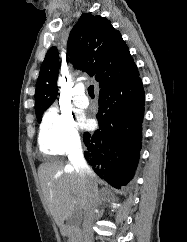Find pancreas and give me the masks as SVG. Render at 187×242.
<instances>
[{
	"label": "pancreas",
	"mask_w": 187,
	"mask_h": 242,
	"mask_svg": "<svg viewBox=\"0 0 187 242\" xmlns=\"http://www.w3.org/2000/svg\"><path fill=\"white\" fill-rule=\"evenodd\" d=\"M78 235H79V229L77 227H73L71 230L69 242H76Z\"/></svg>",
	"instance_id": "pancreas-1"
}]
</instances>
